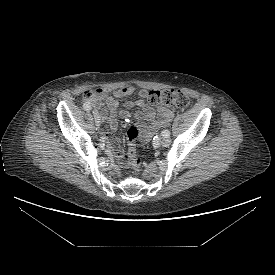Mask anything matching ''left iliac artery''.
<instances>
[{"mask_svg":"<svg viewBox=\"0 0 275 275\" xmlns=\"http://www.w3.org/2000/svg\"><path fill=\"white\" fill-rule=\"evenodd\" d=\"M161 134L164 137H169L170 136V132L168 130H163Z\"/></svg>","mask_w":275,"mask_h":275,"instance_id":"obj_1","label":"left iliac artery"}]
</instances>
